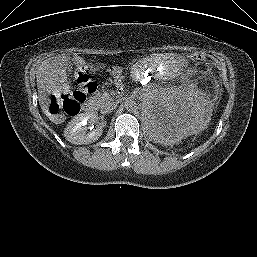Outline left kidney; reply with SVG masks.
Returning <instances> with one entry per match:
<instances>
[{
	"instance_id": "5707ae66",
	"label": "left kidney",
	"mask_w": 257,
	"mask_h": 257,
	"mask_svg": "<svg viewBox=\"0 0 257 257\" xmlns=\"http://www.w3.org/2000/svg\"><path fill=\"white\" fill-rule=\"evenodd\" d=\"M206 112V102L197 91L168 88L147 101L144 118L151 139L171 145L203 130L208 122Z\"/></svg>"
}]
</instances>
